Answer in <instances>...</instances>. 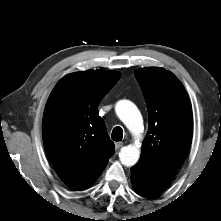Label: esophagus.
<instances>
[{
    "label": "esophagus",
    "instance_id": "34e87169",
    "mask_svg": "<svg viewBox=\"0 0 221 221\" xmlns=\"http://www.w3.org/2000/svg\"><path fill=\"white\" fill-rule=\"evenodd\" d=\"M121 147H123V143L122 142H116L115 143V149L119 150Z\"/></svg>",
    "mask_w": 221,
    "mask_h": 221
}]
</instances>
